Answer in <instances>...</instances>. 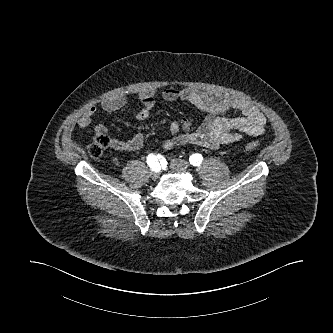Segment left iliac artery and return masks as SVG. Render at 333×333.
Wrapping results in <instances>:
<instances>
[{"mask_svg": "<svg viewBox=\"0 0 333 333\" xmlns=\"http://www.w3.org/2000/svg\"><path fill=\"white\" fill-rule=\"evenodd\" d=\"M189 161L194 166H200L203 161V157L201 154L196 153L190 156Z\"/></svg>", "mask_w": 333, "mask_h": 333, "instance_id": "obj_1", "label": "left iliac artery"}]
</instances>
